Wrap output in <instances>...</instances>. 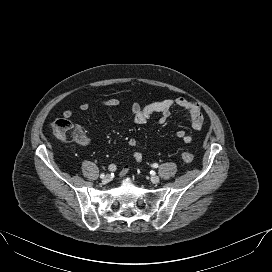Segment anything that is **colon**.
Listing matches in <instances>:
<instances>
[{"label":"colon","mask_w":272,"mask_h":272,"mask_svg":"<svg viewBox=\"0 0 272 272\" xmlns=\"http://www.w3.org/2000/svg\"><path fill=\"white\" fill-rule=\"evenodd\" d=\"M51 131L56 138L63 141H80L84 138L81 127L65 117L56 119L51 124ZM181 158L183 162L191 163L194 156L191 152L184 151Z\"/></svg>","instance_id":"colon-1"}]
</instances>
